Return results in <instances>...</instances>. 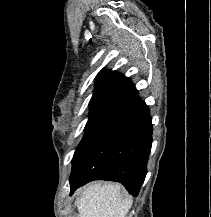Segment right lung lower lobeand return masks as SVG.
I'll use <instances>...</instances> for the list:
<instances>
[{
	"instance_id": "1",
	"label": "right lung lower lobe",
	"mask_w": 211,
	"mask_h": 217,
	"mask_svg": "<svg viewBox=\"0 0 211 217\" xmlns=\"http://www.w3.org/2000/svg\"><path fill=\"white\" fill-rule=\"evenodd\" d=\"M152 130L143 100L114 119L72 170L70 194L90 181L107 180L120 182L137 195L147 174Z\"/></svg>"
}]
</instances>
